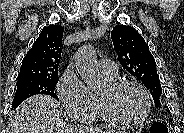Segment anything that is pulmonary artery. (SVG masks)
Returning <instances> with one entry per match:
<instances>
[{
  "label": "pulmonary artery",
  "instance_id": "obj_1",
  "mask_svg": "<svg viewBox=\"0 0 184 133\" xmlns=\"http://www.w3.org/2000/svg\"><path fill=\"white\" fill-rule=\"evenodd\" d=\"M99 68L106 76L116 77L118 75L117 65L111 59H101L99 61Z\"/></svg>",
  "mask_w": 184,
  "mask_h": 133
}]
</instances>
